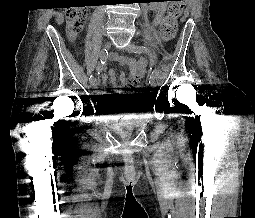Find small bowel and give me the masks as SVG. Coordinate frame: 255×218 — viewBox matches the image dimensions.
Returning a JSON list of instances; mask_svg holds the SVG:
<instances>
[{
	"label": "small bowel",
	"instance_id": "small-bowel-1",
	"mask_svg": "<svg viewBox=\"0 0 255 218\" xmlns=\"http://www.w3.org/2000/svg\"><path fill=\"white\" fill-rule=\"evenodd\" d=\"M164 0H155L152 3H150L148 7V12L154 11L155 17L153 19V25H158L165 15L166 11V4L164 3ZM112 58L117 61L119 64L123 66H127L130 71L129 78H126L124 75H121L120 83L118 84L115 80V71L111 69L109 71V75L111 76V82L113 88L118 87H134L136 86L139 81L143 78L145 73V67L147 64V61L145 59H139L135 60L132 58H128L119 54H113ZM107 82V75H103V84L106 86ZM99 96L104 98V100L101 102V106H106L110 103L113 93L110 92H101L99 93Z\"/></svg>",
	"mask_w": 255,
	"mask_h": 218
}]
</instances>
